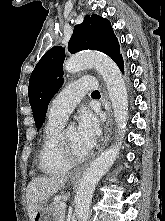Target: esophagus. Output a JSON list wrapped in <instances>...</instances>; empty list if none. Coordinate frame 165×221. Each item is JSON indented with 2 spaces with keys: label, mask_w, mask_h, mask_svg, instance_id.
I'll return each instance as SVG.
<instances>
[{
  "label": "esophagus",
  "mask_w": 165,
  "mask_h": 221,
  "mask_svg": "<svg viewBox=\"0 0 165 221\" xmlns=\"http://www.w3.org/2000/svg\"><path fill=\"white\" fill-rule=\"evenodd\" d=\"M103 93L106 97V111H107V121H106V125H105V136H104V141L102 143V146L99 150V152H101L107 145L110 136L112 134V126H113V114H112V107H111V103L108 99V95H107V91L105 86H103ZM86 165L82 166L78 171H76L74 173V176H79L82 174V172L85 170Z\"/></svg>",
  "instance_id": "esophagus-1"
}]
</instances>
